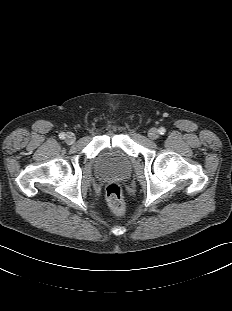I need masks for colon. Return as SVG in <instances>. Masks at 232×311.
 <instances>
[{"label": "colon", "mask_w": 232, "mask_h": 311, "mask_svg": "<svg viewBox=\"0 0 232 311\" xmlns=\"http://www.w3.org/2000/svg\"><path fill=\"white\" fill-rule=\"evenodd\" d=\"M106 199L113 212L120 214L124 211L125 203L119 184L112 182L106 187Z\"/></svg>", "instance_id": "5ec220e1"}]
</instances>
